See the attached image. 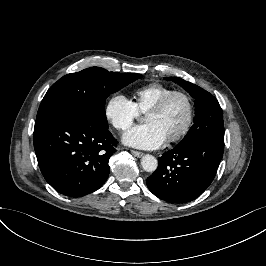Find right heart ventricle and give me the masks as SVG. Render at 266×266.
I'll return each instance as SVG.
<instances>
[{
  "label": "right heart ventricle",
  "mask_w": 266,
  "mask_h": 266,
  "mask_svg": "<svg viewBox=\"0 0 266 266\" xmlns=\"http://www.w3.org/2000/svg\"><path fill=\"white\" fill-rule=\"evenodd\" d=\"M173 90L172 87L161 83L143 85L133 90V103L139 112H146L149 107Z\"/></svg>",
  "instance_id": "1"
}]
</instances>
